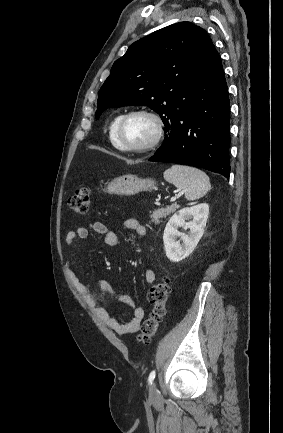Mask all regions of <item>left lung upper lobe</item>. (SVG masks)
I'll return each mask as SVG.
<instances>
[{
  "instance_id": "obj_1",
  "label": "left lung upper lobe",
  "mask_w": 283,
  "mask_h": 433,
  "mask_svg": "<svg viewBox=\"0 0 283 433\" xmlns=\"http://www.w3.org/2000/svg\"><path fill=\"white\" fill-rule=\"evenodd\" d=\"M213 49L204 29L190 22L134 42L99 90L96 119L109 107L146 105L169 125L191 107L192 83Z\"/></svg>"
}]
</instances>
